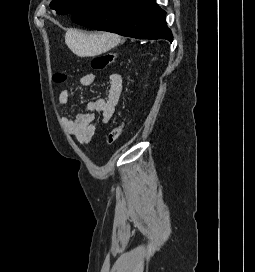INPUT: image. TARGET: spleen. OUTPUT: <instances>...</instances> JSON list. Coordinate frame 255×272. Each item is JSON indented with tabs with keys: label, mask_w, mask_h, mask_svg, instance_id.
Instances as JSON below:
<instances>
[{
	"label": "spleen",
	"mask_w": 255,
	"mask_h": 272,
	"mask_svg": "<svg viewBox=\"0 0 255 272\" xmlns=\"http://www.w3.org/2000/svg\"><path fill=\"white\" fill-rule=\"evenodd\" d=\"M117 35L110 33H86L70 29L65 34V42L73 53L80 57L99 55L119 43Z\"/></svg>",
	"instance_id": "3e777b00"
}]
</instances>
